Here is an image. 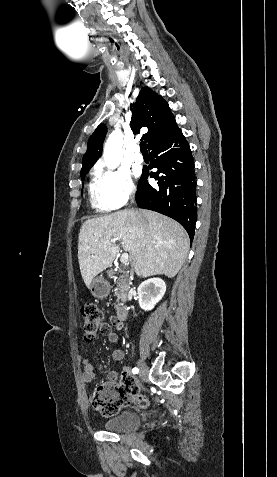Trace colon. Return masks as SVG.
Masks as SVG:
<instances>
[{"label": "colon", "mask_w": 277, "mask_h": 477, "mask_svg": "<svg viewBox=\"0 0 277 477\" xmlns=\"http://www.w3.org/2000/svg\"><path fill=\"white\" fill-rule=\"evenodd\" d=\"M81 316L84 337L87 341H92L100 330L102 312L96 304L88 303L82 307ZM131 402L139 408L148 406V399L138 394L137 385L131 380L101 384L95 389L91 399L93 408L104 416L118 413Z\"/></svg>", "instance_id": "5ec220e1"}]
</instances>
